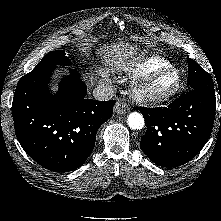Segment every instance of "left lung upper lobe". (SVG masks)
Instances as JSON below:
<instances>
[{
	"label": "left lung upper lobe",
	"mask_w": 221,
	"mask_h": 221,
	"mask_svg": "<svg viewBox=\"0 0 221 221\" xmlns=\"http://www.w3.org/2000/svg\"><path fill=\"white\" fill-rule=\"evenodd\" d=\"M188 60V84L190 89H202L210 94L215 95L213 79L209 73L203 70L198 63L191 58L187 57Z\"/></svg>",
	"instance_id": "obj_1"
}]
</instances>
